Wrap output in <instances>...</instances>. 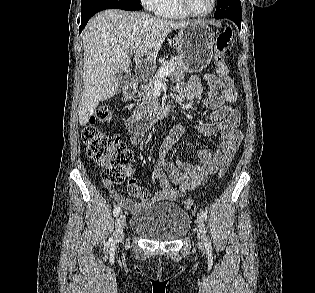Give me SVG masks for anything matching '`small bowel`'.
<instances>
[{
    "mask_svg": "<svg viewBox=\"0 0 315 293\" xmlns=\"http://www.w3.org/2000/svg\"><path fill=\"white\" fill-rule=\"evenodd\" d=\"M209 87V92L201 99V105L209 110L208 119L215 122V126H198L197 131L211 137L218 133L221 142L215 152L206 149L198 151V162L178 159L170 161L167 154L174 144L185 133L183 123L178 124L171 131L168 139L159 150V159L151 174L153 181L159 183L160 190L151 199L150 192L143 187L133 192L139 202L125 197L120 191L111 188L106 183L109 193L124 208L132 212H139L150 202H173L182 197L186 192L203 185L208 176L215 173L223 164L230 163L242 141V133L239 129V112L231 105L237 98V93L230 94L226 91L223 79L212 74L194 75L188 82L179 83L176 86L177 94L185 101L192 102L198 99L203 90V82ZM142 133H133L130 142L138 145L142 142Z\"/></svg>",
    "mask_w": 315,
    "mask_h": 293,
    "instance_id": "obj_1",
    "label": "small bowel"
}]
</instances>
